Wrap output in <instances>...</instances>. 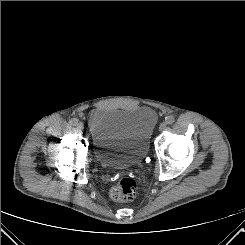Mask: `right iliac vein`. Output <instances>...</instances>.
Here are the masks:
<instances>
[{"label":"right iliac vein","instance_id":"right-iliac-vein-1","mask_svg":"<svg viewBox=\"0 0 245 245\" xmlns=\"http://www.w3.org/2000/svg\"><path fill=\"white\" fill-rule=\"evenodd\" d=\"M77 129L82 130L83 129V124L81 122L77 123Z\"/></svg>","mask_w":245,"mask_h":245}]
</instances>
